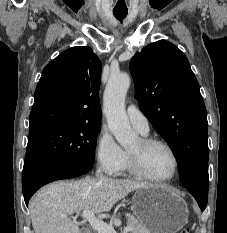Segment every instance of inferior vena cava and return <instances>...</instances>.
I'll return each instance as SVG.
<instances>
[{"label":"inferior vena cava","instance_id":"inferior-vena-cava-1","mask_svg":"<svg viewBox=\"0 0 227 233\" xmlns=\"http://www.w3.org/2000/svg\"><path fill=\"white\" fill-rule=\"evenodd\" d=\"M96 174H97V176H99V175H100V178H102V174H101V170H100V169H99V170H97Z\"/></svg>","mask_w":227,"mask_h":233}]
</instances>
